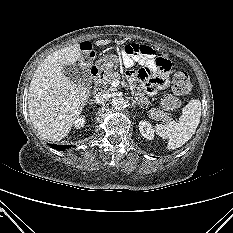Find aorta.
I'll use <instances>...</instances> for the list:
<instances>
[{
    "label": "aorta",
    "instance_id": "762f6f07",
    "mask_svg": "<svg viewBox=\"0 0 233 233\" xmlns=\"http://www.w3.org/2000/svg\"><path fill=\"white\" fill-rule=\"evenodd\" d=\"M112 106L116 110H122L127 107V101L123 97H116L112 101Z\"/></svg>",
    "mask_w": 233,
    "mask_h": 233
}]
</instances>
